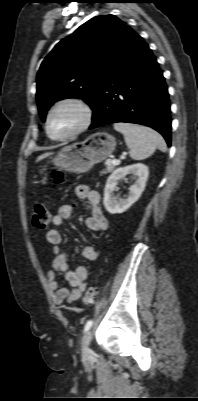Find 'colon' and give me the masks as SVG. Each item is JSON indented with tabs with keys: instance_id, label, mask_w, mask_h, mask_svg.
<instances>
[{
	"instance_id": "1",
	"label": "colon",
	"mask_w": 198,
	"mask_h": 401,
	"mask_svg": "<svg viewBox=\"0 0 198 401\" xmlns=\"http://www.w3.org/2000/svg\"><path fill=\"white\" fill-rule=\"evenodd\" d=\"M52 179L55 184H62L64 182V175L57 170L52 172ZM51 211L43 204L35 205L32 213L33 225L39 229H45L51 221ZM96 291L93 287H89L83 297V303L85 305H91L94 301Z\"/></svg>"
}]
</instances>
